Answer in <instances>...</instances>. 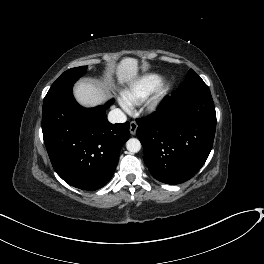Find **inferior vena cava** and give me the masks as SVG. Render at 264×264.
Wrapping results in <instances>:
<instances>
[{
	"label": "inferior vena cava",
	"instance_id": "inferior-vena-cava-1",
	"mask_svg": "<svg viewBox=\"0 0 264 264\" xmlns=\"http://www.w3.org/2000/svg\"><path fill=\"white\" fill-rule=\"evenodd\" d=\"M108 120L111 123H124L127 117L120 109H113L108 114Z\"/></svg>",
	"mask_w": 264,
	"mask_h": 264
}]
</instances>
